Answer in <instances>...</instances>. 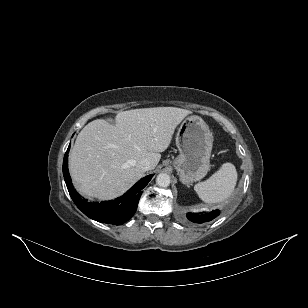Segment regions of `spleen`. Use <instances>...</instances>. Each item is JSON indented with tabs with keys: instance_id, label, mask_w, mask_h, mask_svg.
I'll use <instances>...</instances> for the list:
<instances>
[{
	"instance_id": "spleen-1",
	"label": "spleen",
	"mask_w": 308,
	"mask_h": 308,
	"mask_svg": "<svg viewBox=\"0 0 308 308\" xmlns=\"http://www.w3.org/2000/svg\"><path fill=\"white\" fill-rule=\"evenodd\" d=\"M237 171L232 163H224L209 179L197 183L194 190L206 203H220L234 192L237 183Z\"/></svg>"
}]
</instances>
